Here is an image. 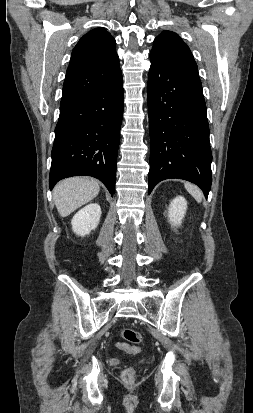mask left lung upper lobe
I'll use <instances>...</instances> for the list:
<instances>
[{"mask_svg":"<svg viewBox=\"0 0 253 413\" xmlns=\"http://www.w3.org/2000/svg\"><path fill=\"white\" fill-rule=\"evenodd\" d=\"M151 53L159 56L175 70L201 83L191 51L176 33L163 31L155 38Z\"/></svg>","mask_w":253,"mask_h":413,"instance_id":"5c2ea615","label":"left lung upper lobe"}]
</instances>
